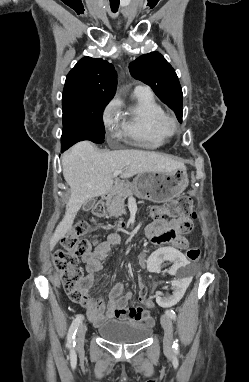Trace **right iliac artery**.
Returning a JSON list of instances; mask_svg holds the SVG:
<instances>
[{"label":"right iliac artery","instance_id":"1","mask_svg":"<svg viewBox=\"0 0 249 382\" xmlns=\"http://www.w3.org/2000/svg\"><path fill=\"white\" fill-rule=\"evenodd\" d=\"M84 319V316L79 314L77 315V317L73 320L70 328H69V332H68V336H67V345L69 347H74L76 342H75V335H76V332H77V329L78 327L80 326V324L82 323V320Z\"/></svg>","mask_w":249,"mask_h":382}]
</instances>
